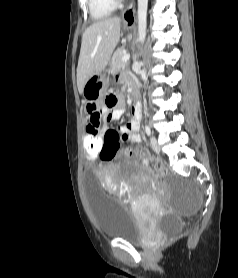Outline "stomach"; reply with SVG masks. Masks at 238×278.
Returning a JSON list of instances; mask_svg holds the SVG:
<instances>
[{"label":"stomach","mask_w":238,"mask_h":278,"mask_svg":"<svg viewBox=\"0 0 238 278\" xmlns=\"http://www.w3.org/2000/svg\"><path fill=\"white\" fill-rule=\"evenodd\" d=\"M125 28H129L125 26ZM113 74L111 69H100L99 74L93 75L84 85L82 95L87 101L99 99L105 89H109V82H112Z\"/></svg>","instance_id":"0dacf381"}]
</instances>
